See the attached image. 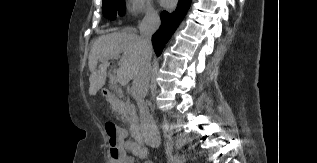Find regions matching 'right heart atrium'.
Wrapping results in <instances>:
<instances>
[{"mask_svg": "<svg viewBox=\"0 0 317 163\" xmlns=\"http://www.w3.org/2000/svg\"><path fill=\"white\" fill-rule=\"evenodd\" d=\"M125 9L130 16L145 14L147 16L154 15V9L151 0H125Z\"/></svg>", "mask_w": 317, "mask_h": 163, "instance_id": "d8ad5b80", "label": "right heart atrium"}]
</instances>
